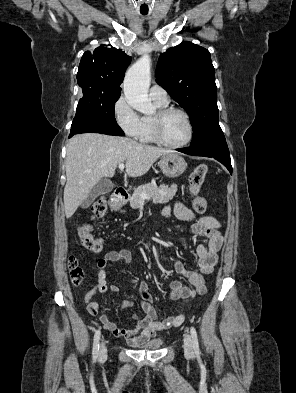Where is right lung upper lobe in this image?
<instances>
[{
  "instance_id": "obj_1",
  "label": "right lung upper lobe",
  "mask_w": 296,
  "mask_h": 393,
  "mask_svg": "<svg viewBox=\"0 0 296 393\" xmlns=\"http://www.w3.org/2000/svg\"><path fill=\"white\" fill-rule=\"evenodd\" d=\"M130 62V56L113 47L101 45L93 53L86 51L77 73L78 85L85 95L121 93L120 84Z\"/></svg>"
}]
</instances>
